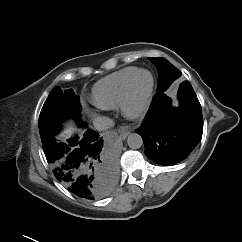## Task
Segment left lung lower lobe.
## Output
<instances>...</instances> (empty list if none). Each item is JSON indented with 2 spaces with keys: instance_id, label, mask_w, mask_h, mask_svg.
<instances>
[{
  "instance_id": "left-lung-lower-lobe-1",
  "label": "left lung lower lobe",
  "mask_w": 242,
  "mask_h": 242,
  "mask_svg": "<svg viewBox=\"0 0 242 242\" xmlns=\"http://www.w3.org/2000/svg\"><path fill=\"white\" fill-rule=\"evenodd\" d=\"M179 106L164 92L156 93L142 126L136 130L145 145V155L160 165L185 160L203 133L199 100L188 81L181 84Z\"/></svg>"
}]
</instances>
